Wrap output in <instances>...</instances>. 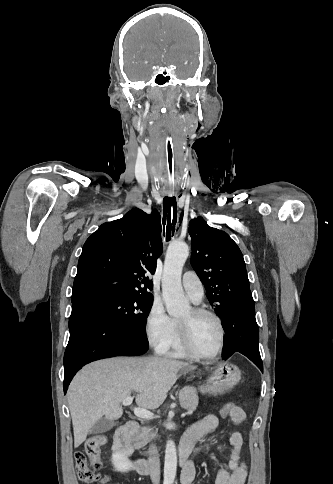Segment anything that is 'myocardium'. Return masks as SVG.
<instances>
[{
    "label": "myocardium",
    "mask_w": 333,
    "mask_h": 484,
    "mask_svg": "<svg viewBox=\"0 0 333 484\" xmlns=\"http://www.w3.org/2000/svg\"><path fill=\"white\" fill-rule=\"evenodd\" d=\"M191 312L193 317L209 316L217 323V326L219 328L218 346L216 350L210 355H203L199 353L193 345L191 330H190V323L188 321L178 320V329H179V336H180L181 343L185 351L189 354V356L199 360L212 361L221 354L224 348L225 327H224L223 321L220 318V316L217 315L214 311L207 309L205 307H198V306L193 307L191 308Z\"/></svg>",
    "instance_id": "myocardium-1"
}]
</instances>
